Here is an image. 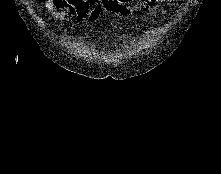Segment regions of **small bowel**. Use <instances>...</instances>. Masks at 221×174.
Returning a JSON list of instances; mask_svg holds the SVG:
<instances>
[{"label": "small bowel", "instance_id": "1", "mask_svg": "<svg viewBox=\"0 0 221 174\" xmlns=\"http://www.w3.org/2000/svg\"><path fill=\"white\" fill-rule=\"evenodd\" d=\"M134 0H44L43 7L54 18L67 21L75 19L82 22L85 19L94 20L102 10L128 17L143 7H152L156 2L165 0H144L132 6Z\"/></svg>", "mask_w": 221, "mask_h": 174}]
</instances>
